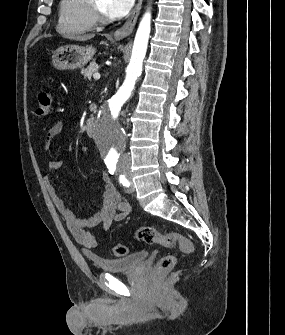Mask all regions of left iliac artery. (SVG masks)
Segmentation results:
<instances>
[{"label": "left iliac artery", "mask_w": 285, "mask_h": 335, "mask_svg": "<svg viewBox=\"0 0 285 335\" xmlns=\"http://www.w3.org/2000/svg\"><path fill=\"white\" fill-rule=\"evenodd\" d=\"M119 180H120V183H122L124 186L129 187L130 183H129V181L125 178L124 175H120Z\"/></svg>", "instance_id": "obj_1"}]
</instances>
